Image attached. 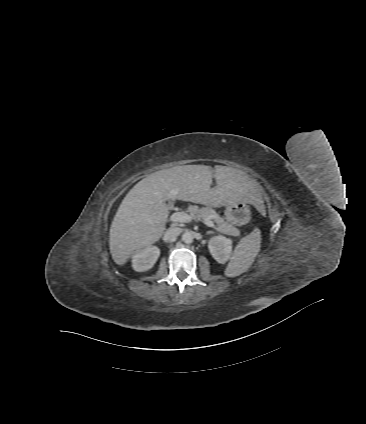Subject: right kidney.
Here are the masks:
<instances>
[{"label": "right kidney", "instance_id": "obj_1", "mask_svg": "<svg viewBox=\"0 0 366 424\" xmlns=\"http://www.w3.org/2000/svg\"><path fill=\"white\" fill-rule=\"evenodd\" d=\"M160 255L157 246H148L132 256V267L135 271L143 272L151 269Z\"/></svg>", "mask_w": 366, "mask_h": 424}]
</instances>
